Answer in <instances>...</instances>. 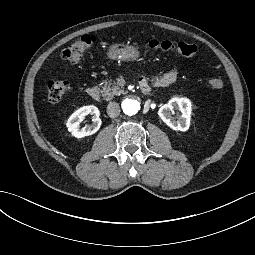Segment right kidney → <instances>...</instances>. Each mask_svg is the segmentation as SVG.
Segmentation results:
<instances>
[{
    "label": "right kidney",
    "instance_id": "obj_1",
    "mask_svg": "<svg viewBox=\"0 0 255 255\" xmlns=\"http://www.w3.org/2000/svg\"><path fill=\"white\" fill-rule=\"evenodd\" d=\"M88 114L94 115L93 124L86 125L80 129V122L83 121L84 117ZM100 112L97 107L90 105L79 108L75 111L68 119L66 126L68 131L77 138L92 135L97 132L102 124L99 118Z\"/></svg>",
    "mask_w": 255,
    "mask_h": 255
}]
</instances>
